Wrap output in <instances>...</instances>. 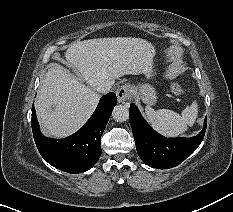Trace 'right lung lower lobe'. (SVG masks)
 <instances>
[{
  "label": "right lung lower lobe",
  "mask_w": 233,
  "mask_h": 212,
  "mask_svg": "<svg viewBox=\"0 0 233 212\" xmlns=\"http://www.w3.org/2000/svg\"><path fill=\"white\" fill-rule=\"evenodd\" d=\"M116 104L113 92L103 96L85 125L63 139L47 138L41 133L33 105L32 130L41 156L50 165L68 173H82L92 168L101 156V135Z\"/></svg>",
  "instance_id": "1"
}]
</instances>
